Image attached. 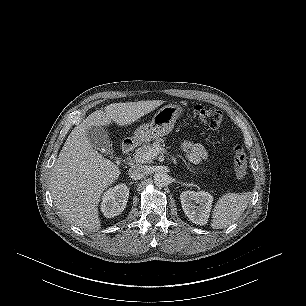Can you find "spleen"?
<instances>
[{
    "mask_svg": "<svg viewBox=\"0 0 306 306\" xmlns=\"http://www.w3.org/2000/svg\"><path fill=\"white\" fill-rule=\"evenodd\" d=\"M251 198V192L223 195L214 207L211 227L222 229L233 224L246 210Z\"/></svg>",
    "mask_w": 306,
    "mask_h": 306,
    "instance_id": "obj_1",
    "label": "spleen"
}]
</instances>
